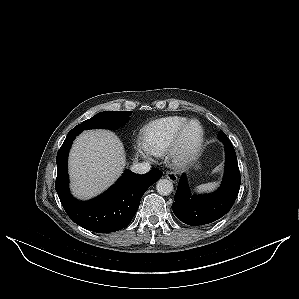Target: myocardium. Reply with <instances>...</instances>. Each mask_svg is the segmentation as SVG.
Listing matches in <instances>:
<instances>
[{"instance_id":"f54148a6","label":"myocardium","mask_w":299,"mask_h":299,"mask_svg":"<svg viewBox=\"0 0 299 299\" xmlns=\"http://www.w3.org/2000/svg\"><path fill=\"white\" fill-rule=\"evenodd\" d=\"M199 128L197 137L191 141H187V133L192 126ZM204 141V128L202 124L196 120H189L178 132L171 148L169 149V158L176 167H183L193 161L200 152Z\"/></svg>"}]
</instances>
